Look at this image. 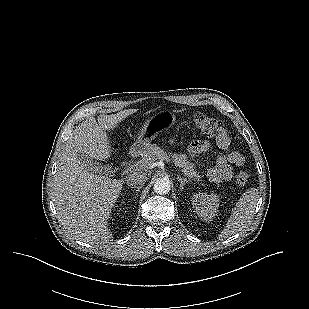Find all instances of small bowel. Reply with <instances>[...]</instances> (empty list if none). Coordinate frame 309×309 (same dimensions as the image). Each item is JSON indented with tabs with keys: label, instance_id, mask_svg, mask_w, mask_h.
<instances>
[{
	"label": "small bowel",
	"instance_id": "1",
	"mask_svg": "<svg viewBox=\"0 0 309 309\" xmlns=\"http://www.w3.org/2000/svg\"><path fill=\"white\" fill-rule=\"evenodd\" d=\"M216 144L224 153L216 156V164L208 170V178L214 183H221L231 180L233 176L232 166H242L245 163V156L235 150H231V141L225 130L216 136ZM209 149V144L204 141H197L191 144L190 152H205Z\"/></svg>",
	"mask_w": 309,
	"mask_h": 309
}]
</instances>
